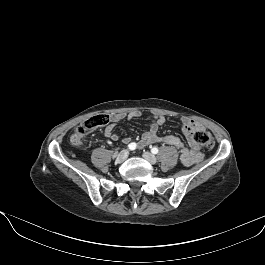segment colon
Here are the masks:
<instances>
[{
  "instance_id": "5ec220e1",
  "label": "colon",
  "mask_w": 265,
  "mask_h": 265,
  "mask_svg": "<svg viewBox=\"0 0 265 265\" xmlns=\"http://www.w3.org/2000/svg\"><path fill=\"white\" fill-rule=\"evenodd\" d=\"M110 117L107 114H97L83 123H81L75 130L71 137V142L74 145H80L82 140L92 134L96 129L105 126L109 123ZM196 142L205 149H211L214 146L213 135L206 130H199L195 133Z\"/></svg>"
}]
</instances>
